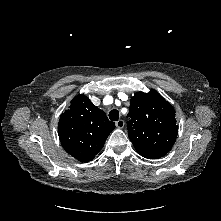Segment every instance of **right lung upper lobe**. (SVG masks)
I'll use <instances>...</instances> for the list:
<instances>
[{
	"mask_svg": "<svg viewBox=\"0 0 221 221\" xmlns=\"http://www.w3.org/2000/svg\"><path fill=\"white\" fill-rule=\"evenodd\" d=\"M115 128L105 112L94 106L88 97L79 94L61 114L58 134L64 149L82 162L91 161L102 149Z\"/></svg>",
	"mask_w": 221,
	"mask_h": 221,
	"instance_id": "cb5924a9",
	"label": "right lung upper lobe"
}]
</instances>
